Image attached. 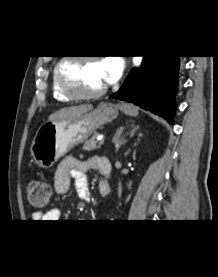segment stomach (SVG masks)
<instances>
[{
  "label": "stomach",
  "instance_id": "obj_1",
  "mask_svg": "<svg viewBox=\"0 0 218 277\" xmlns=\"http://www.w3.org/2000/svg\"><path fill=\"white\" fill-rule=\"evenodd\" d=\"M119 111L136 116L137 110L126 103H101L95 110L79 116L48 121L37 130L30 153L41 168L52 167L74 146L83 143L102 125L117 118Z\"/></svg>",
  "mask_w": 218,
  "mask_h": 277
}]
</instances>
